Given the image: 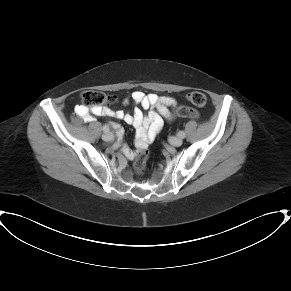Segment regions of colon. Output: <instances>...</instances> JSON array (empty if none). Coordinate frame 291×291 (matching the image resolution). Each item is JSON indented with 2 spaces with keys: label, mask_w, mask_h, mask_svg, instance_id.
Masks as SVG:
<instances>
[{
  "label": "colon",
  "mask_w": 291,
  "mask_h": 291,
  "mask_svg": "<svg viewBox=\"0 0 291 291\" xmlns=\"http://www.w3.org/2000/svg\"><path fill=\"white\" fill-rule=\"evenodd\" d=\"M83 106L86 109H96L98 107H105L115 103L116 98L110 94L104 93L100 90H87L81 94ZM186 100L195 106H204L207 102L206 96L200 91H194L186 96ZM197 113L194 110L187 108H180L169 116V121L176 118H196ZM149 157V151L142 149L136 156L134 162V170L137 174H142L145 170L146 161Z\"/></svg>",
  "instance_id": "colon-1"
}]
</instances>
